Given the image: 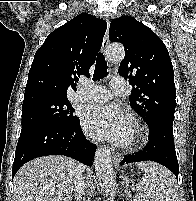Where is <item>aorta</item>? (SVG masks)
I'll list each match as a JSON object with an SVG mask.
<instances>
[{"instance_id": "1", "label": "aorta", "mask_w": 196, "mask_h": 201, "mask_svg": "<svg viewBox=\"0 0 196 201\" xmlns=\"http://www.w3.org/2000/svg\"><path fill=\"white\" fill-rule=\"evenodd\" d=\"M125 51L122 45H111L106 51V57L110 62L119 63L123 60ZM95 171L100 186L106 193L113 186V165L110 150L107 147H99L94 158Z\"/></svg>"}]
</instances>
